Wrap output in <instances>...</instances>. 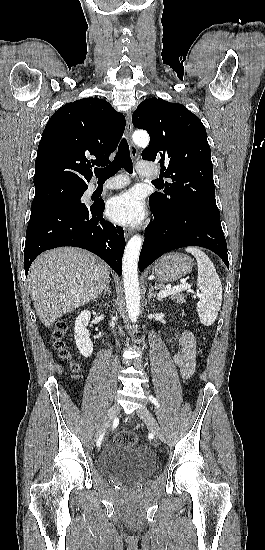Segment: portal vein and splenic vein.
<instances>
[{
  "label": "portal vein and splenic vein",
  "instance_id": "obj_1",
  "mask_svg": "<svg viewBox=\"0 0 265 550\" xmlns=\"http://www.w3.org/2000/svg\"><path fill=\"white\" fill-rule=\"evenodd\" d=\"M183 290H188V291H191V286L188 285L187 283H182L180 285H177V286H174L170 289H167V290H164V291H160L158 293V297L159 298H164V297H167L169 295H172V294H175V293H178V292H181ZM198 297H201V294L200 293H197L196 294Z\"/></svg>",
  "mask_w": 265,
  "mask_h": 550
}]
</instances>
